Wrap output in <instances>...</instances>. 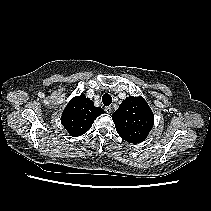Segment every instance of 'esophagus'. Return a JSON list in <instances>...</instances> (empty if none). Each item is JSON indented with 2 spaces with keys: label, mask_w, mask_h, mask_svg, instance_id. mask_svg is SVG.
Listing matches in <instances>:
<instances>
[{
  "label": "esophagus",
  "mask_w": 211,
  "mask_h": 211,
  "mask_svg": "<svg viewBox=\"0 0 211 211\" xmlns=\"http://www.w3.org/2000/svg\"><path fill=\"white\" fill-rule=\"evenodd\" d=\"M105 112L111 114L112 113V108L110 106L105 107Z\"/></svg>",
  "instance_id": "1"
}]
</instances>
